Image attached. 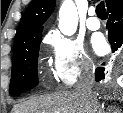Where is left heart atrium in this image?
<instances>
[{"label": "left heart atrium", "instance_id": "left-heart-atrium-1", "mask_svg": "<svg viewBox=\"0 0 123 113\" xmlns=\"http://www.w3.org/2000/svg\"><path fill=\"white\" fill-rule=\"evenodd\" d=\"M92 47L96 54L103 55L108 50V45L103 35L97 34L92 38Z\"/></svg>", "mask_w": 123, "mask_h": 113}]
</instances>
